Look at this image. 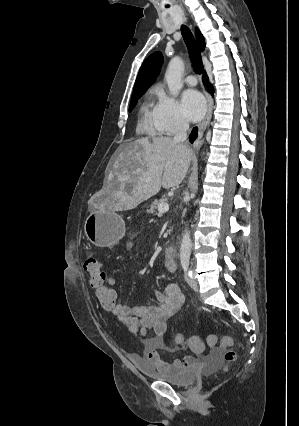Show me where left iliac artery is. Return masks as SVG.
<instances>
[{
  "label": "left iliac artery",
  "instance_id": "obj_1",
  "mask_svg": "<svg viewBox=\"0 0 299 426\" xmlns=\"http://www.w3.org/2000/svg\"><path fill=\"white\" fill-rule=\"evenodd\" d=\"M182 268L185 272L188 271L189 262L188 261H182Z\"/></svg>",
  "mask_w": 299,
  "mask_h": 426
}]
</instances>
